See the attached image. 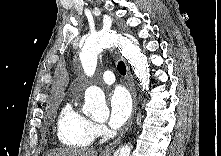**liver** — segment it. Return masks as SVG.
<instances>
[{
	"label": "liver",
	"mask_w": 221,
	"mask_h": 156,
	"mask_svg": "<svg viewBox=\"0 0 221 156\" xmlns=\"http://www.w3.org/2000/svg\"><path fill=\"white\" fill-rule=\"evenodd\" d=\"M44 156H97V151L94 149L62 148L50 150Z\"/></svg>",
	"instance_id": "1"
}]
</instances>
